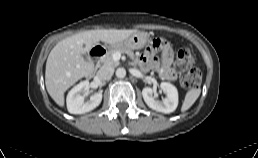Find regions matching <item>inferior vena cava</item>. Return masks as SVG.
Here are the masks:
<instances>
[{"mask_svg": "<svg viewBox=\"0 0 258 158\" xmlns=\"http://www.w3.org/2000/svg\"><path fill=\"white\" fill-rule=\"evenodd\" d=\"M114 73V68L110 67V66H102L98 72L96 77L101 80V81H105L108 80L112 77Z\"/></svg>", "mask_w": 258, "mask_h": 158, "instance_id": "602c4592", "label": "inferior vena cava"}]
</instances>
